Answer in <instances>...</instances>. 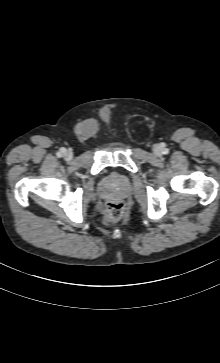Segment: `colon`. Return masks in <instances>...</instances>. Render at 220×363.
I'll use <instances>...</instances> for the list:
<instances>
[{
  "mask_svg": "<svg viewBox=\"0 0 220 363\" xmlns=\"http://www.w3.org/2000/svg\"><path fill=\"white\" fill-rule=\"evenodd\" d=\"M125 213V204L121 200H111L105 205V218L108 221L120 219Z\"/></svg>",
  "mask_w": 220,
  "mask_h": 363,
  "instance_id": "5ec220e1",
  "label": "colon"
}]
</instances>
